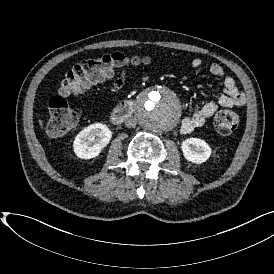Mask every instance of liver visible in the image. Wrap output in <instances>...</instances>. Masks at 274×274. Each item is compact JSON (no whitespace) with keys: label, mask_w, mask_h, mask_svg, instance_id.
<instances>
[{"label":"liver","mask_w":274,"mask_h":274,"mask_svg":"<svg viewBox=\"0 0 274 274\" xmlns=\"http://www.w3.org/2000/svg\"><path fill=\"white\" fill-rule=\"evenodd\" d=\"M39 125L41 126V128H43V122H42V120H39Z\"/></svg>","instance_id":"6515ba94"}]
</instances>
